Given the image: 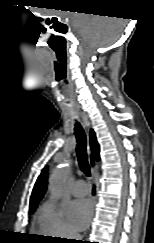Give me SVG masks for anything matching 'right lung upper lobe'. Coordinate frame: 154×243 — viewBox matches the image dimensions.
<instances>
[{
    "label": "right lung upper lobe",
    "mask_w": 154,
    "mask_h": 243,
    "mask_svg": "<svg viewBox=\"0 0 154 243\" xmlns=\"http://www.w3.org/2000/svg\"><path fill=\"white\" fill-rule=\"evenodd\" d=\"M90 144H91V149L96 157L97 160H99V144L96 140V136L93 130L90 131ZM47 169L44 168L39 175L34 189L32 191V195L30 198V207H35L38 205V202L43 198L45 191H46V184H47V177H46Z\"/></svg>",
    "instance_id": "obj_1"
}]
</instances>
